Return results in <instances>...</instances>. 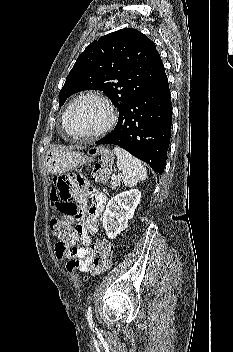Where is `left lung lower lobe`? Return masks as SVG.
I'll return each mask as SVG.
<instances>
[{
  "instance_id": "0a47b994",
  "label": "left lung lower lobe",
  "mask_w": 233,
  "mask_h": 352,
  "mask_svg": "<svg viewBox=\"0 0 233 352\" xmlns=\"http://www.w3.org/2000/svg\"><path fill=\"white\" fill-rule=\"evenodd\" d=\"M171 96L166 73L120 113L115 129L96 144H114L148 163L165 168L171 134Z\"/></svg>"
}]
</instances>
